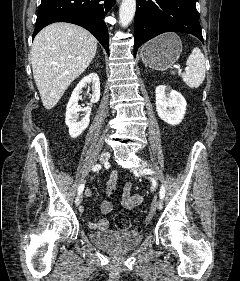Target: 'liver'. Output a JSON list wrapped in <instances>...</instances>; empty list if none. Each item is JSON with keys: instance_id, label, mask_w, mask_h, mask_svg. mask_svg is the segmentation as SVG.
I'll return each mask as SVG.
<instances>
[{"instance_id": "6515ba94", "label": "liver", "mask_w": 240, "mask_h": 281, "mask_svg": "<svg viewBox=\"0 0 240 281\" xmlns=\"http://www.w3.org/2000/svg\"><path fill=\"white\" fill-rule=\"evenodd\" d=\"M97 40L86 29L57 22L43 28L31 48L33 77L43 106L52 109L90 65Z\"/></svg>"}]
</instances>
